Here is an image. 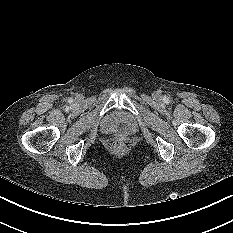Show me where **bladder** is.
<instances>
[{"instance_id": "31cf9c89", "label": "bladder", "mask_w": 233, "mask_h": 233, "mask_svg": "<svg viewBox=\"0 0 233 233\" xmlns=\"http://www.w3.org/2000/svg\"><path fill=\"white\" fill-rule=\"evenodd\" d=\"M101 129L107 134L131 135L136 132L137 125L133 117L124 111H113L107 114L102 122Z\"/></svg>"}]
</instances>
